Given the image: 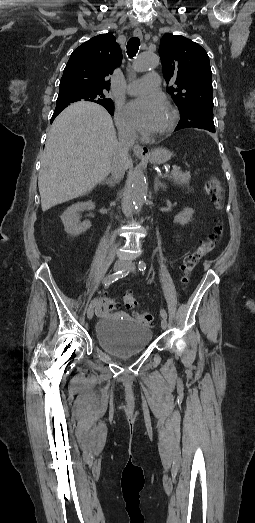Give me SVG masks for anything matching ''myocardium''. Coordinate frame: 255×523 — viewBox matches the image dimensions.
<instances>
[{
    "mask_svg": "<svg viewBox=\"0 0 255 523\" xmlns=\"http://www.w3.org/2000/svg\"><path fill=\"white\" fill-rule=\"evenodd\" d=\"M164 104L167 107H169L171 109V111H172V115L173 116H172L171 124H170L169 128L162 135H160L158 137H154V138L145 137L144 139L146 141L153 142V141H157V140L163 139L165 137H168V136H170L174 132V130L177 127V124H178V121H179V111H178V109L173 104H171L168 101H165Z\"/></svg>",
    "mask_w": 255,
    "mask_h": 523,
    "instance_id": "obj_1",
    "label": "myocardium"
}]
</instances>
